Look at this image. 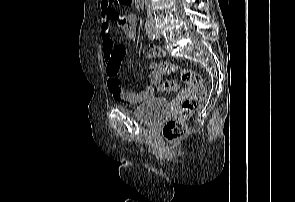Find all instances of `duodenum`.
I'll use <instances>...</instances> for the list:
<instances>
[{"mask_svg":"<svg viewBox=\"0 0 295 202\" xmlns=\"http://www.w3.org/2000/svg\"><path fill=\"white\" fill-rule=\"evenodd\" d=\"M146 1H147V0H137L139 6H140L141 8H144V7H145V5H146Z\"/></svg>","mask_w":295,"mask_h":202,"instance_id":"obj_1","label":"duodenum"}]
</instances>
